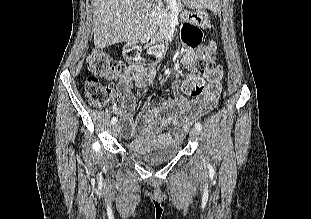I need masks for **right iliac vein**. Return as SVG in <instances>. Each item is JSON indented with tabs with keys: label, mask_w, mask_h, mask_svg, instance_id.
Segmentation results:
<instances>
[{
	"label": "right iliac vein",
	"mask_w": 311,
	"mask_h": 219,
	"mask_svg": "<svg viewBox=\"0 0 311 219\" xmlns=\"http://www.w3.org/2000/svg\"><path fill=\"white\" fill-rule=\"evenodd\" d=\"M120 132V127L117 124H114L112 126V133L114 136H117Z\"/></svg>",
	"instance_id": "right-iliac-vein-1"
}]
</instances>
